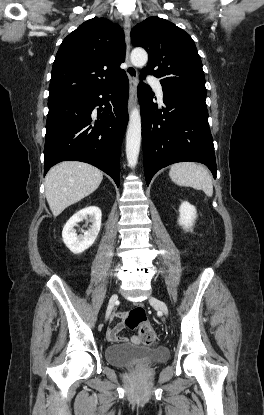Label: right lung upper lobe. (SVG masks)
I'll return each instance as SVG.
<instances>
[{
	"instance_id": "obj_1",
	"label": "right lung upper lobe",
	"mask_w": 264,
	"mask_h": 415,
	"mask_svg": "<svg viewBox=\"0 0 264 415\" xmlns=\"http://www.w3.org/2000/svg\"><path fill=\"white\" fill-rule=\"evenodd\" d=\"M123 30L105 18L81 24L61 43L52 67L48 101L79 96L105 87L125 71Z\"/></svg>"
}]
</instances>
